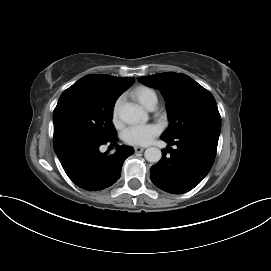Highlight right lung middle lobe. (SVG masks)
Segmentation results:
<instances>
[{"mask_svg": "<svg viewBox=\"0 0 271 271\" xmlns=\"http://www.w3.org/2000/svg\"><path fill=\"white\" fill-rule=\"evenodd\" d=\"M119 96L78 82L66 89L53 112L55 152L87 141L113 138L111 119Z\"/></svg>", "mask_w": 271, "mask_h": 271, "instance_id": "right-lung-middle-lobe-1", "label": "right lung middle lobe"}]
</instances>
